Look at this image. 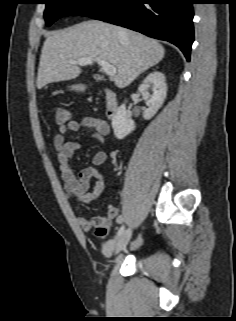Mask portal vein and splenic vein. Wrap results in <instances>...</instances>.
Here are the masks:
<instances>
[{"label": "portal vein and splenic vein", "instance_id": "18ae733b", "mask_svg": "<svg viewBox=\"0 0 236 321\" xmlns=\"http://www.w3.org/2000/svg\"><path fill=\"white\" fill-rule=\"evenodd\" d=\"M93 61H96L108 76L114 77L116 75V67L101 59L95 60L93 58H82L79 60H72L70 63L80 65V66H85L93 63Z\"/></svg>", "mask_w": 236, "mask_h": 321}]
</instances>
